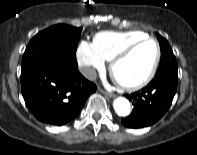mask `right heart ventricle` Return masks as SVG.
Masks as SVG:
<instances>
[{"label":"right heart ventricle","mask_w":197,"mask_h":155,"mask_svg":"<svg viewBox=\"0 0 197 155\" xmlns=\"http://www.w3.org/2000/svg\"><path fill=\"white\" fill-rule=\"evenodd\" d=\"M147 37L144 32L131 31H102L94 36L93 44L102 57L110 61L114 55L125 46Z\"/></svg>","instance_id":"1"}]
</instances>
